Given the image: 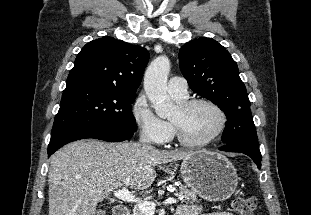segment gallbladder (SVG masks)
<instances>
[{
	"instance_id": "obj_1",
	"label": "gallbladder",
	"mask_w": 311,
	"mask_h": 215,
	"mask_svg": "<svg viewBox=\"0 0 311 215\" xmlns=\"http://www.w3.org/2000/svg\"><path fill=\"white\" fill-rule=\"evenodd\" d=\"M97 215H104V211L103 210H98L97 211Z\"/></svg>"
}]
</instances>
